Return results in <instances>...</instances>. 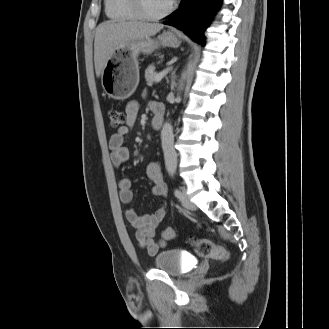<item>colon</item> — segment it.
<instances>
[{
	"instance_id": "colon-1",
	"label": "colon",
	"mask_w": 329,
	"mask_h": 329,
	"mask_svg": "<svg viewBox=\"0 0 329 329\" xmlns=\"http://www.w3.org/2000/svg\"><path fill=\"white\" fill-rule=\"evenodd\" d=\"M110 125L113 128H121L126 123L125 114L118 110L112 109L109 112ZM162 236L165 240H172L175 237V228L168 226L162 230ZM189 244L192 246L196 254L203 258H210L218 261H226L229 258L228 251L219 245L214 244L210 239L200 237H191Z\"/></svg>"
}]
</instances>
